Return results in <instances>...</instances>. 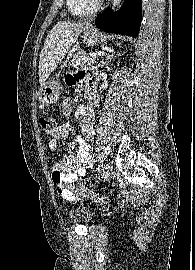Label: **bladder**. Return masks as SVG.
Wrapping results in <instances>:
<instances>
[{
	"mask_svg": "<svg viewBox=\"0 0 195 270\" xmlns=\"http://www.w3.org/2000/svg\"><path fill=\"white\" fill-rule=\"evenodd\" d=\"M69 218L74 222L89 223L94 214L84 208H75L69 211Z\"/></svg>",
	"mask_w": 195,
	"mask_h": 270,
	"instance_id": "1",
	"label": "bladder"
}]
</instances>
